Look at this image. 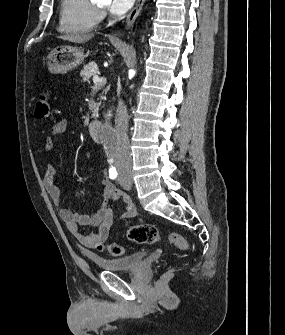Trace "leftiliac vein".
<instances>
[{
	"label": "left iliac vein",
	"mask_w": 285,
	"mask_h": 335,
	"mask_svg": "<svg viewBox=\"0 0 285 335\" xmlns=\"http://www.w3.org/2000/svg\"><path fill=\"white\" fill-rule=\"evenodd\" d=\"M118 182L126 190H130L132 187V181L129 173H127L126 176H124V174L121 172L118 177Z\"/></svg>",
	"instance_id": "4c4485c4"
}]
</instances>
